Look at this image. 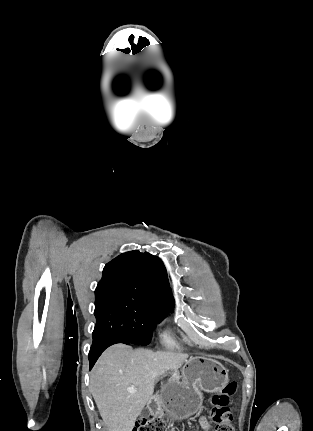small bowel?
Returning a JSON list of instances; mask_svg holds the SVG:
<instances>
[{
    "instance_id": "small-bowel-1",
    "label": "small bowel",
    "mask_w": 313,
    "mask_h": 431,
    "mask_svg": "<svg viewBox=\"0 0 313 431\" xmlns=\"http://www.w3.org/2000/svg\"><path fill=\"white\" fill-rule=\"evenodd\" d=\"M200 424L204 431H209L210 424L204 416L200 418Z\"/></svg>"
}]
</instances>
